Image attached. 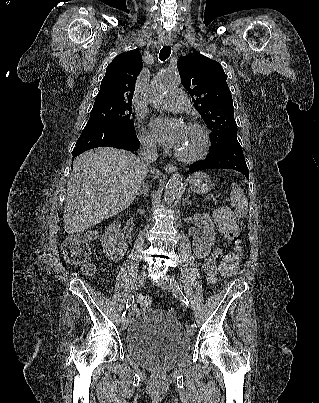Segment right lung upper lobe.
I'll list each match as a JSON object with an SVG mask.
<instances>
[{
    "instance_id": "1",
    "label": "right lung upper lobe",
    "mask_w": 319,
    "mask_h": 403,
    "mask_svg": "<svg viewBox=\"0 0 319 403\" xmlns=\"http://www.w3.org/2000/svg\"><path fill=\"white\" fill-rule=\"evenodd\" d=\"M142 67V55L137 49L116 56L107 67L95 102L131 105Z\"/></svg>"
}]
</instances>
